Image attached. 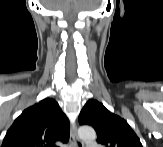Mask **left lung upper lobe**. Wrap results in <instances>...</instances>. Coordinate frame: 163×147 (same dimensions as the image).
<instances>
[{
	"mask_svg": "<svg viewBox=\"0 0 163 147\" xmlns=\"http://www.w3.org/2000/svg\"><path fill=\"white\" fill-rule=\"evenodd\" d=\"M79 123L92 126L97 133V142L105 147H142L127 121L97 100L87 101L79 115Z\"/></svg>",
	"mask_w": 163,
	"mask_h": 147,
	"instance_id": "obj_1",
	"label": "left lung upper lobe"
}]
</instances>
